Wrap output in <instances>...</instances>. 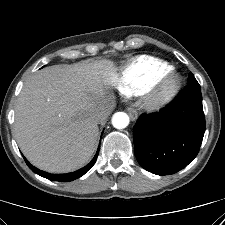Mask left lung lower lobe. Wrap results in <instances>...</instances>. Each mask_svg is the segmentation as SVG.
Instances as JSON below:
<instances>
[{
  "label": "left lung lower lobe",
  "mask_w": 225,
  "mask_h": 225,
  "mask_svg": "<svg viewBox=\"0 0 225 225\" xmlns=\"http://www.w3.org/2000/svg\"><path fill=\"white\" fill-rule=\"evenodd\" d=\"M204 132L200 87L188 85L159 113L140 115L133 133L136 158L149 172L174 174L196 157Z\"/></svg>",
  "instance_id": "1"
}]
</instances>
